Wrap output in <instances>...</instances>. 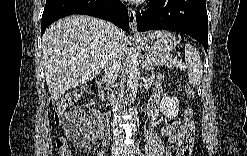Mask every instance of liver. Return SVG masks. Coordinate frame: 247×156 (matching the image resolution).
<instances>
[{
  "instance_id": "6515ba94",
  "label": "liver",
  "mask_w": 247,
  "mask_h": 156,
  "mask_svg": "<svg viewBox=\"0 0 247 156\" xmlns=\"http://www.w3.org/2000/svg\"><path fill=\"white\" fill-rule=\"evenodd\" d=\"M105 25L101 19L72 15L46 29L42 38L43 63L52 103L69 89L99 75L107 52ZM119 31L123 52L127 37Z\"/></svg>"
}]
</instances>
